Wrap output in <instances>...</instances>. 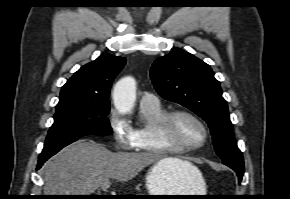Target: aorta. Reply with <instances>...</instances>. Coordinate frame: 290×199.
<instances>
[{"label": "aorta", "mask_w": 290, "mask_h": 199, "mask_svg": "<svg viewBox=\"0 0 290 199\" xmlns=\"http://www.w3.org/2000/svg\"><path fill=\"white\" fill-rule=\"evenodd\" d=\"M136 99V82L132 77L119 80L113 91V102L121 113H131Z\"/></svg>", "instance_id": "obj_1"}]
</instances>
